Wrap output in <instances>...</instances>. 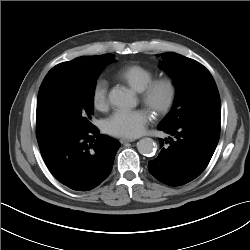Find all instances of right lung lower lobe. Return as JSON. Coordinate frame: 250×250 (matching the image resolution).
Masks as SVG:
<instances>
[{
	"label": "right lung lower lobe",
	"instance_id": "98d812e1",
	"mask_svg": "<svg viewBox=\"0 0 250 250\" xmlns=\"http://www.w3.org/2000/svg\"><path fill=\"white\" fill-rule=\"evenodd\" d=\"M43 160L52 175L76 191H89L110 174L118 140L99 134L94 127L85 133L60 134L38 140Z\"/></svg>",
	"mask_w": 250,
	"mask_h": 250
}]
</instances>
